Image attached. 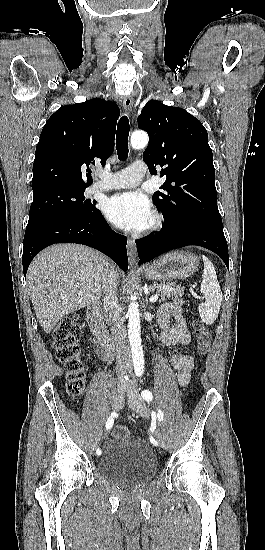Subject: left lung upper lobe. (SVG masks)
Wrapping results in <instances>:
<instances>
[{
  "mask_svg": "<svg viewBox=\"0 0 265 550\" xmlns=\"http://www.w3.org/2000/svg\"><path fill=\"white\" fill-rule=\"evenodd\" d=\"M138 127L149 136L143 161L151 174L156 165L166 176L152 199L168 225L184 218H200L222 225L217 206L213 154L202 123L186 110L150 100L138 117Z\"/></svg>",
  "mask_w": 265,
  "mask_h": 550,
  "instance_id": "1",
  "label": "left lung upper lobe"
}]
</instances>
